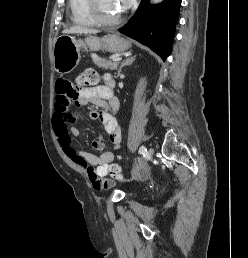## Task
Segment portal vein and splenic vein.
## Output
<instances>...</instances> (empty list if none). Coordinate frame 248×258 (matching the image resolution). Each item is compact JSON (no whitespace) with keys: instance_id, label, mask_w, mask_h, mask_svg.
Here are the masks:
<instances>
[{"instance_id":"portal-vein-and-splenic-vein-1","label":"portal vein and splenic vein","mask_w":248,"mask_h":258,"mask_svg":"<svg viewBox=\"0 0 248 258\" xmlns=\"http://www.w3.org/2000/svg\"><path fill=\"white\" fill-rule=\"evenodd\" d=\"M122 60V57H113L112 58V61L113 62H119V61H121Z\"/></svg>"}]
</instances>
